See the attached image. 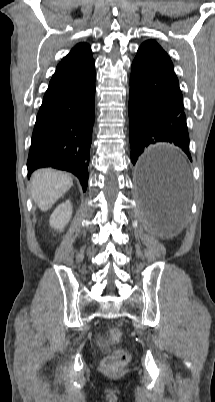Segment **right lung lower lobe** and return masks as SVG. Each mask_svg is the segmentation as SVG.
<instances>
[{
    "label": "right lung lower lobe",
    "instance_id": "98d812e1",
    "mask_svg": "<svg viewBox=\"0 0 215 402\" xmlns=\"http://www.w3.org/2000/svg\"><path fill=\"white\" fill-rule=\"evenodd\" d=\"M95 77L80 86L43 100L34 126L28 175L41 167L75 174L86 190L94 125Z\"/></svg>",
    "mask_w": 215,
    "mask_h": 402
}]
</instances>
